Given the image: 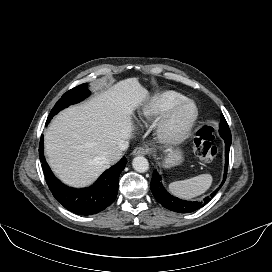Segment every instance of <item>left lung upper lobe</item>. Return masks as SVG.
Returning a JSON list of instances; mask_svg holds the SVG:
<instances>
[{
  "instance_id": "left-lung-upper-lobe-1",
  "label": "left lung upper lobe",
  "mask_w": 272,
  "mask_h": 272,
  "mask_svg": "<svg viewBox=\"0 0 272 272\" xmlns=\"http://www.w3.org/2000/svg\"><path fill=\"white\" fill-rule=\"evenodd\" d=\"M219 131H220L221 137H223V136L231 137L229 126H228L224 116L221 117V124H220Z\"/></svg>"
}]
</instances>
